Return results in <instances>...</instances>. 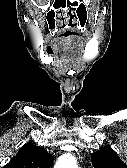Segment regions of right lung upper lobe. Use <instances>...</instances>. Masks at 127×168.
Masks as SVG:
<instances>
[{
    "label": "right lung upper lobe",
    "mask_w": 127,
    "mask_h": 168,
    "mask_svg": "<svg viewBox=\"0 0 127 168\" xmlns=\"http://www.w3.org/2000/svg\"><path fill=\"white\" fill-rule=\"evenodd\" d=\"M52 156L43 148L26 144L4 168H50Z\"/></svg>",
    "instance_id": "cb5924a9"
}]
</instances>
